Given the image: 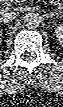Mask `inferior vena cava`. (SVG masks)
Here are the masks:
<instances>
[{
	"mask_svg": "<svg viewBox=\"0 0 63 107\" xmlns=\"http://www.w3.org/2000/svg\"><path fill=\"white\" fill-rule=\"evenodd\" d=\"M18 13L17 10L13 7H6L0 11V21L2 23H9L16 19Z\"/></svg>",
	"mask_w": 63,
	"mask_h": 107,
	"instance_id": "1",
	"label": "inferior vena cava"
}]
</instances>
